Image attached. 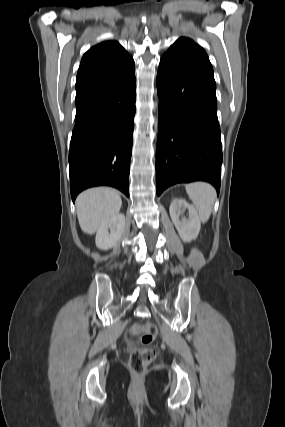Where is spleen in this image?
I'll use <instances>...</instances> for the list:
<instances>
[{
  "mask_svg": "<svg viewBox=\"0 0 285 427\" xmlns=\"http://www.w3.org/2000/svg\"><path fill=\"white\" fill-rule=\"evenodd\" d=\"M185 189L199 214L200 220L207 222L216 198L215 189L206 182L190 183L185 186Z\"/></svg>",
  "mask_w": 285,
  "mask_h": 427,
  "instance_id": "3e777b00",
  "label": "spleen"
}]
</instances>
